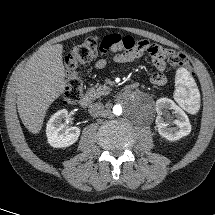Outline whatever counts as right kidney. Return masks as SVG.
<instances>
[{
    "label": "right kidney",
    "mask_w": 215,
    "mask_h": 215,
    "mask_svg": "<svg viewBox=\"0 0 215 215\" xmlns=\"http://www.w3.org/2000/svg\"><path fill=\"white\" fill-rule=\"evenodd\" d=\"M68 117L66 109L56 112L48 121L46 134L48 143L56 148L68 147L74 144L80 135V127L74 126L66 128L62 123Z\"/></svg>",
    "instance_id": "ca27d5eb"
}]
</instances>
